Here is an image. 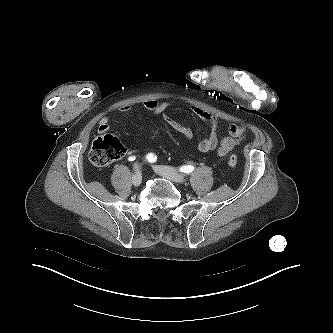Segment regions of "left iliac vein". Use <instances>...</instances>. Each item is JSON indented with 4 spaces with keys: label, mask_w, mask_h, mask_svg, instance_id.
<instances>
[{
    "label": "left iliac vein",
    "mask_w": 333,
    "mask_h": 333,
    "mask_svg": "<svg viewBox=\"0 0 333 333\" xmlns=\"http://www.w3.org/2000/svg\"><path fill=\"white\" fill-rule=\"evenodd\" d=\"M154 170L160 176L178 184H185L186 177L176 170L167 166H154Z\"/></svg>",
    "instance_id": "4c4485c4"
}]
</instances>
